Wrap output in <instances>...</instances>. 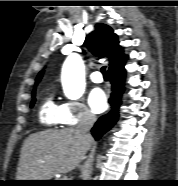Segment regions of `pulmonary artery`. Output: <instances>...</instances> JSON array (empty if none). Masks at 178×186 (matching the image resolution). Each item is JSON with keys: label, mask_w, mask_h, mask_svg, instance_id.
<instances>
[{"label": "pulmonary artery", "mask_w": 178, "mask_h": 186, "mask_svg": "<svg viewBox=\"0 0 178 186\" xmlns=\"http://www.w3.org/2000/svg\"><path fill=\"white\" fill-rule=\"evenodd\" d=\"M90 79L95 83H100L103 80V77L100 72L96 71L90 74Z\"/></svg>", "instance_id": "e3ab8cb5"}]
</instances>
